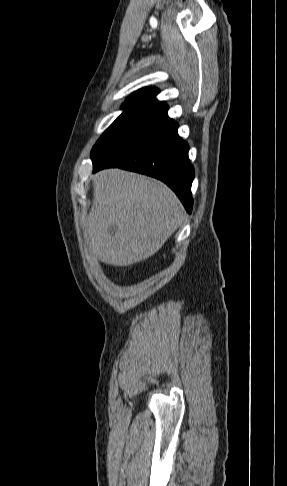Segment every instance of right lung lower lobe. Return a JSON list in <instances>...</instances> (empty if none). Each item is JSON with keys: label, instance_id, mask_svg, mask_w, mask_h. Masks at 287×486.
I'll return each instance as SVG.
<instances>
[{"label": "right lung lower lobe", "instance_id": "1", "mask_svg": "<svg viewBox=\"0 0 287 486\" xmlns=\"http://www.w3.org/2000/svg\"><path fill=\"white\" fill-rule=\"evenodd\" d=\"M177 127V123L167 118L146 134L94 163L93 171L119 167L155 177L176 193L190 213L194 168L188 158L189 146L179 137Z\"/></svg>", "mask_w": 287, "mask_h": 486}]
</instances>
